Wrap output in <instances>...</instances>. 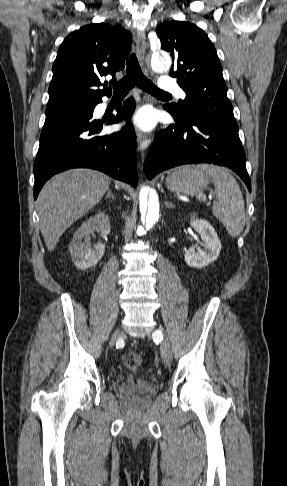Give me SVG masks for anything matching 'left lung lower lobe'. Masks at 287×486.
<instances>
[{"mask_svg": "<svg viewBox=\"0 0 287 486\" xmlns=\"http://www.w3.org/2000/svg\"><path fill=\"white\" fill-rule=\"evenodd\" d=\"M173 118L175 124L159 134L146 157L144 171L148 179L182 164L213 163L234 170L251 191L238 129L202 118Z\"/></svg>", "mask_w": 287, "mask_h": 486, "instance_id": "1", "label": "left lung lower lobe"}]
</instances>
